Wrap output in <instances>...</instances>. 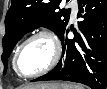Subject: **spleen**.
I'll return each mask as SVG.
<instances>
[{"mask_svg":"<svg viewBox=\"0 0 107 89\" xmlns=\"http://www.w3.org/2000/svg\"><path fill=\"white\" fill-rule=\"evenodd\" d=\"M64 89H84L82 85L79 84H64Z\"/></svg>","mask_w":107,"mask_h":89,"instance_id":"1","label":"spleen"}]
</instances>
